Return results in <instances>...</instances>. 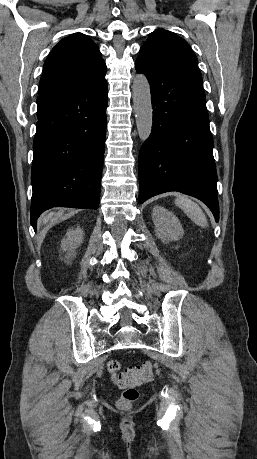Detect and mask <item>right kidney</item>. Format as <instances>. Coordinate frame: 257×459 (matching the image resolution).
Here are the masks:
<instances>
[{"label": "right kidney", "instance_id": "1", "mask_svg": "<svg viewBox=\"0 0 257 459\" xmlns=\"http://www.w3.org/2000/svg\"><path fill=\"white\" fill-rule=\"evenodd\" d=\"M83 242V231L80 227L68 230L66 238L61 241V248L63 251H68L66 258L73 255L74 250L78 248Z\"/></svg>", "mask_w": 257, "mask_h": 459}]
</instances>
